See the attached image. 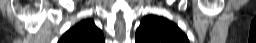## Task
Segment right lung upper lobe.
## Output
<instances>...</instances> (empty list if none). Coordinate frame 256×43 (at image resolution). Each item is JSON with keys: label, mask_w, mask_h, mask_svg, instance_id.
I'll use <instances>...</instances> for the list:
<instances>
[{"label": "right lung upper lobe", "mask_w": 256, "mask_h": 43, "mask_svg": "<svg viewBox=\"0 0 256 43\" xmlns=\"http://www.w3.org/2000/svg\"><path fill=\"white\" fill-rule=\"evenodd\" d=\"M59 43H104V36L93 20H83L69 29Z\"/></svg>", "instance_id": "1"}]
</instances>
